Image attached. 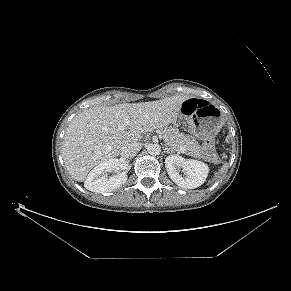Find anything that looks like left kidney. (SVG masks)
Wrapping results in <instances>:
<instances>
[{
    "label": "left kidney",
    "instance_id": "5707ae66",
    "mask_svg": "<svg viewBox=\"0 0 291 291\" xmlns=\"http://www.w3.org/2000/svg\"><path fill=\"white\" fill-rule=\"evenodd\" d=\"M165 167L171 180L185 189L201 186L209 173L207 164L194 159H185L179 155L166 157Z\"/></svg>",
    "mask_w": 291,
    "mask_h": 291
}]
</instances>
